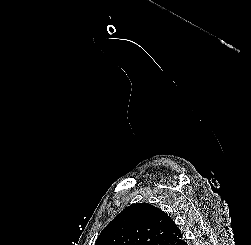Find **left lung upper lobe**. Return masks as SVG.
<instances>
[{
	"label": "left lung upper lobe",
	"instance_id": "left-lung-upper-lobe-1",
	"mask_svg": "<svg viewBox=\"0 0 251 245\" xmlns=\"http://www.w3.org/2000/svg\"><path fill=\"white\" fill-rule=\"evenodd\" d=\"M183 239V233L165 212L148 203H136L103 229L95 245H177Z\"/></svg>",
	"mask_w": 251,
	"mask_h": 245
}]
</instances>
